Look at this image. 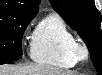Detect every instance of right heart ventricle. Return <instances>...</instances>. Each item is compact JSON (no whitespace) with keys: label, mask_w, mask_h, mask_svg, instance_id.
Here are the masks:
<instances>
[{"label":"right heart ventricle","mask_w":102,"mask_h":75,"mask_svg":"<svg viewBox=\"0 0 102 75\" xmlns=\"http://www.w3.org/2000/svg\"><path fill=\"white\" fill-rule=\"evenodd\" d=\"M77 38L57 13L48 14L37 26L33 36L31 57L40 63L72 67L77 62Z\"/></svg>","instance_id":"obj_1"}]
</instances>
